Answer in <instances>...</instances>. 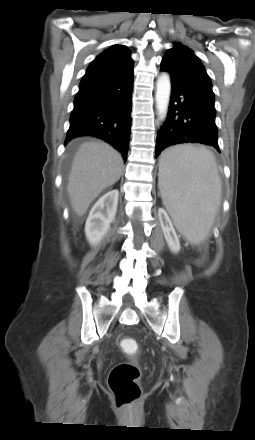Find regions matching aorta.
Masks as SVG:
<instances>
[{
    "mask_svg": "<svg viewBox=\"0 0 255 440\" xmlns=\"http://www.w3.org/2000/svg\"><path fill=\"white\" fill-rule=\"evenodd\" d=\"M156 88V108L159 119L164 121L167 116L171 92L170 76L167 73L160 75L157 80Z\"/></svg>",
    "mask_w": 255,
    "mask_h": 440,
    "instance_id": "obj_1",
    "label": "aorta"
}]
</instances>
